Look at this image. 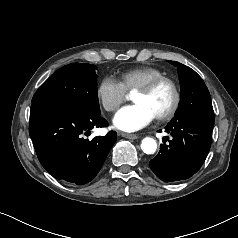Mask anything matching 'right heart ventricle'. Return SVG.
Returning a JSON list of instances; mask_svg holds the SVG:
<instances>
[{
  "label": "right heart ventricle",
  "instance_id": "obj_1",
  "mask_svg": "<svg viewBox=\"0 0 238 238\" xmlns=\"http://www.w3.org/2000/svg\"><path fill=\"white\" fill-rule=\"evenodd\" d=\"M161 76H164L162 70L151 66H141L123 72L120 76V83L126 92H132Z\"/></svg>",
  "mask_w": 238,
  "mask_h": 238
}]
</instances>
